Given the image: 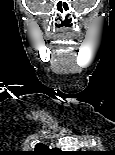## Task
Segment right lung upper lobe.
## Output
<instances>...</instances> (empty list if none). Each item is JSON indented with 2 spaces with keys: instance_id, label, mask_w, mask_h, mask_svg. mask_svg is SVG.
Returning a JSON list of instances; mask_svg holds the SVG:
<instances>
[{
  "instance_id": "cb5924a9",
  "label": "right lung upper lobe",
  "mask_w": 115,
  "mask_h": 155,
  "mask_svg": "<svg viewBox=\"0 0 115 155\" xmlns=\"http://www.w3.org/2000/svg\"><path fill=\"white\" fill-rule=\"evenodd\" d=\"M58 148L49 149L46 145L39 143L35 146V150L31 152V155H58Z\"/></svg>"
}]
</instances>
